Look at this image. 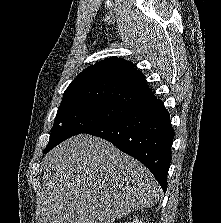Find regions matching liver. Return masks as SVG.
Returning <instances> with one entry per match:
<instances>
[{
  "label": "liver",
  "mask_w": 221,
  "mask_h": 223,
  "mask_svg": "<svg viewBox=\"0 0 221 223\" xmlns=\"http://www.w3.org/2000/svg\"><path fill=\"white\" fill-rule=\"evenodd\" d=\"M42 165L38 223H113L154 206L161 196L143 164L87 134L56 146Z\"/></svg>",
  "instance_id": "liver-1"
}]
</instances>
